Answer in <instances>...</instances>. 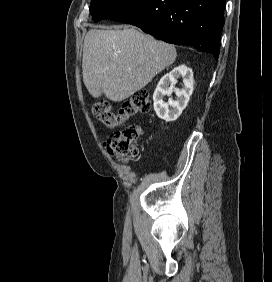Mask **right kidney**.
I'll return each instance as SVG.
<instances>
[{
    "instance_id": "1",
    "label": "right kidney",
    "mask_w": 272,
    "mask_h": 282,
    "mask_svg": "<svg viewBox=\"0 0 272 282\" xmlns=\"http://www.w3.org/2000/svg\"><path fill=\"white\" fill-rule=\"evenodd\" d=\"M179 77L183 78V86L181 89L175 88ZM193 83V71L186 65H179L165 74L160 79L153 94L156 115L166 122L175 121L189 102L193 92ZM173 91H175L177 100L174 101L170 98L168 103H165L163 100L164 96H170ZM169 106L172 108L169 109Z\"/></svg>"
}]
</instances>
